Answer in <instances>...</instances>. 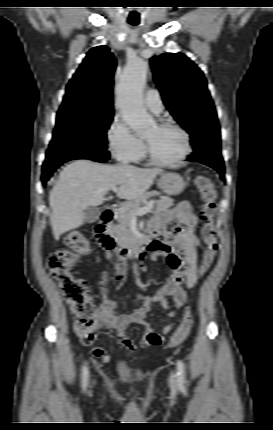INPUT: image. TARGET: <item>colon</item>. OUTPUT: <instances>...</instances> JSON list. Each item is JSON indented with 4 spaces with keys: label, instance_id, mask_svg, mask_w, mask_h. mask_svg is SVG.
<instances>
[{
    "label": "colon",
    "instance_id": "colon-1",
    "mask_svg": "<svg viewBox=\"0 0 273 430\" xmlns=\"http://www.w3.org/2000/svg\"><path fill=\"white\" fill-rule=\"evenodd\" d=\"M195 185L202 198L201 219L203 221L202 236L206 244L202 262L198 268V276L204 275L212 266L217 251L218 241L214 218L216 213V191L211 180L197 176ZM66 248L52 251L47 259V267L63 293L66 303L73 314V327L81 342L91 345L96 337L98 328V311L90 295V290L84 279L76 277L72 267L82 255L89 252L88 240L77 232H70L64 238ZM193 325V316L186 309L182 325L171 336L168 347L179 346L189 334ZM152 385H150V389Z\"/></svg>",
    "mask_w": 273,
    "mask_h": 430
}]
</instances>
